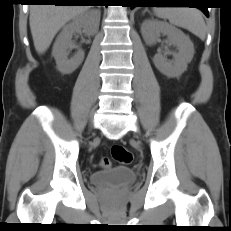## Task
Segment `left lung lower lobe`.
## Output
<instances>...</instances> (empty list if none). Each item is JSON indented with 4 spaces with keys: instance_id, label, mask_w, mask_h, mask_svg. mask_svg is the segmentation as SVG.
<instances>
[{
    "instance_id": "0a47b994",
    "label": "left lung lower lobe",
    "mask_w": 231,
    "mask_h": 231,
    "mask_svg": "<svg viewBox=\"0 0 231 231\" xmlns=\"http://www.w3.org/2000/svg\"><path fill=\"white\" fill-rule=\"evenodd\" d=\"M134 2L138 4H142L141 6H148V7L156 6L155 5L156 3H164V2H160V0H134ZM199 5H203V4H199ZM198 8L201 9L207 17H209L207 7H198Z\"/></svg>"
}]
</instances>
